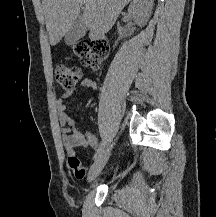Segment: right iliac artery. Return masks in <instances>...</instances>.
Here are the masks:
<instances>
[{
  "mask_svg": "<svg viewBox=\"0 0 216 217\" xmlns=\"http://www.w3.org/2000/svg\"><path fill=\"white\" fill-rule=\"evenodd\" d=\"M104 147H105V142H102L94 155V160H96L103 153Z\"/></svg>",
  "mask_w": 216,
  "mask_h": 217,
  "instance_id": "1",
  "label": "right iliac artery"
}]
</instances>
